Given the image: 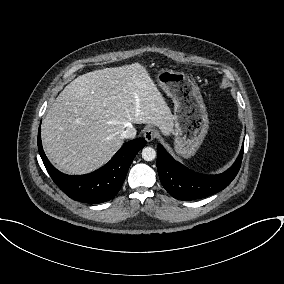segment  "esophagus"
Masks as SVG:
<instances>
[{
	"label": "esophagus",
	"instance_id": "obj_1",
	"mask_svg": "<svg viewBox=\"0 0 284 284\" xmlns=\"http://www.w3.org/2000/svg\"><path fill=\"white\" fill-rule=\"evenodd\" d=\"M156 136H157V132L153 128H147L144 131V138L147 142L153 141L156 138Z\"/></svg>",
	"mask_w": 284,
	"mask_h": 284
}]
</instances>
